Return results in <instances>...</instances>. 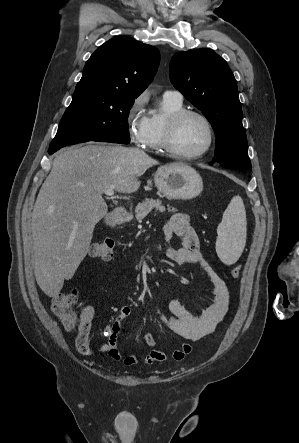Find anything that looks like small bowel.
Here are the masks:
<instances>
[{
    "instance_id": "c3829d8e",
    "label": "small bowel",
    "mask_w": 299,
    "mask_h": 443,
    "mask_svg": "<svg viewBox=\"0 0 299 443\" xmlns=\"http://www.w3.org/2000/svg\"><path fill=\"white\" fill-rule=\"evenodd\" d=\"M163 233L166 243L165 256L172 262L184 265L195 264L200 266L208 275L213 284L214 300L202 313H193L186 309L179 301L173 300L169 303L170 314L165 315L157 312L159 322L171 332L181 336L190 342H196L211 334L216 325L221 321L228 310L230 293L226 282L219 273L210 265L204 256L198 236L191 225L190 219L185 214H175L164 225ZM179 237L181 244L178 247L171 245L173 239ZM159 250V246H155ZM81 317L86 324L76 338L78 350L85 355H91L96 351L95 346L90 341L91 325L94 318V309L84 307L81 310ZM131 315V310L127 306H122L114 322L105 326L103 334L107 341L101 344L97 351L106 353L114 360H122L125 365L131 366L139 362L135 355H125L117 347V337L120 333L123 322ZM142 337L150 347L156 346V340L149 331H143ZM192 351L189 343H184L180 349L172 352L174 360L184 359ZM166 359L164 352L153 349L144 358L146 365L162 362Z\"/></svg>"
}]
</instances>
